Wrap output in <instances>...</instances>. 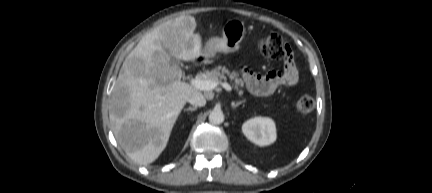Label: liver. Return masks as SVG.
Wrapping results in <instances>:
<instances>
[{"label":"liver","instance_id":"1","mask_svg":"<svg viewBox=\"0 0 432 193\" xmlns=\"http://www.w3.org/2000/svg\"><path fill=\"white\" fill-rule=\"evenodd\" d=\"M192 16H180L145 35L128 54L109 101L117 142L140 165L154 162L166 148L182 108L196 88L182 82L170 57L193 61L202 41Z\"/></svg>","mask_w":432,"mask_h":193}]
</instances>
